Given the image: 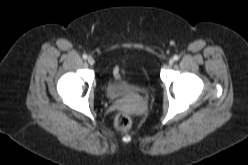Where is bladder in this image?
I'll return each mask as SVG.
<instances>
[{"label":"bladder","mask_w":248,"mask_h":165,"mask_svg":"<svg viewBox=\"0 0 248 165\" xmlns=\"http://www.w3.org/2000/svg\"><path fill=\"white\" fill-rule=\"evenodd\" d=\"M147 90V87L141 86L128 78L117 82L110 80L105 85V93L110 99H121L136 94H142Z\"/></svg>","instance_id":"bladder-1"}]
</instances>
